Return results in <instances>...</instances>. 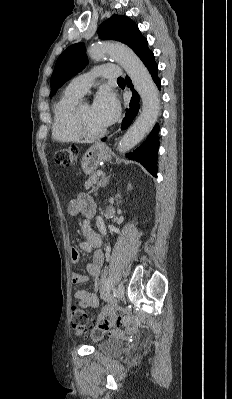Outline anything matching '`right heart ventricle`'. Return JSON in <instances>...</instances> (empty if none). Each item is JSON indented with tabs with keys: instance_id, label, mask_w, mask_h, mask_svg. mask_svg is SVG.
<instances>
[{
	"instance_id": "e07e8e85",
	"label": "right heart ventricle",
	"mask_w": 232,
	"mask_h": 399,
	"mask_svg": "<svg viewBox=\"0 0 232 399\" xmlns=\"http://www.w3.org/2000/svg\"><path fill=\"white\" fill-rule=\"evenodd\" d=\"M79 96L65 94L52 107L51 132L57 142L75 144L83 138L77 133L73 123L75 105Z\"/></svg>"
}]
</instances>
